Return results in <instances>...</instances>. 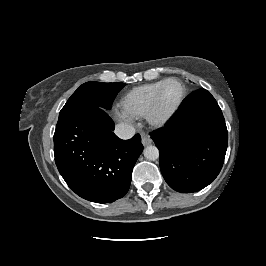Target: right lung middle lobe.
Instances as JSON below:
<instances>
[{"mask_svg": "<svg viewBox=\"0 0 266 266\" xmlns=\"http://www.w3.org/2000/svg\"><path fill=\"white\" fill-rule=\"evenodd\" d=\"M124 86V83H102L92 81L82 84L61 109L57 126L63 124L69 117L84 106L94 105L109 110L115 96Z\"/></svg>", "mask_w": 266, "mask_h": 266, "instance_id": "obj_1", "label": "right lung middle lobe"}]
</instances>
